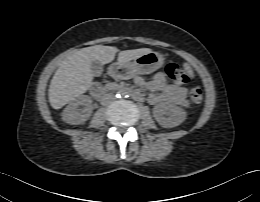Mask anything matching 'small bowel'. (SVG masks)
<instances>
[{
	"mask_svg": "<svg viewBox=\"0 0 260 202\" xmlns=\"http://www.w3.org/2000/svg\"><path fill=\"white\" fill-rule=\"evenodd\" d=\"M134 82L152 91V93L145 98L150 104L169 102L183 107L188 106L186 99L187 89L169 83L163 73H157L154 78L148 82H145L141 76L137 75L134 76Z\"/></svg>",
	"mask_w": 260,
	"mask_h": 202,
	"instance_id": "1",
	"label": "small bowel"
}]
</instances>
